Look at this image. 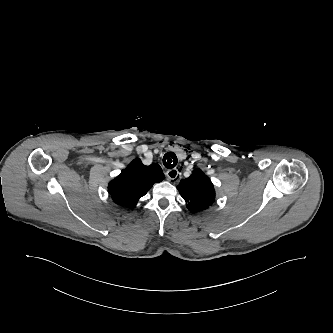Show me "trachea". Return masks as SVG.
<instances>
[{"label": "trachea", "instance_id": "3493384b", "mask_svg": "<svg viewBox=\"0 0 333 333\" xmlns=\"http://www.w3.org/2000/svg\"><path fill=\"white\" fill-rule=\"evenodd\" d=\"M177 162V156L173 152H167L163 157V164L168 169L174 168Z\"/></svg>", "mask_w": 333, "mask_h": 333}]
</instances>
